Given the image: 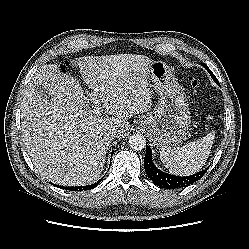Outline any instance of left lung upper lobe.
<instances>
[{
    "label": "left lung upper lobe",
    "mask_w": 249,
    "mask_h": 249,
    "mask_svg": "<svg viewBox=\"0 0 249 249\" xmlns=\"http://www.w3.org/2000/svg\"><path fill=\"white\" fill-rule=\"evenodd\" d=\"M206 70L210 73L211 77L213 78V80L219 85V82L217 80V78L215 77V75L211 72V70L205 65V64H202Z\"/></svg>",
    "instance_id": "1"
}]
</instances>
